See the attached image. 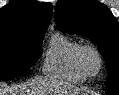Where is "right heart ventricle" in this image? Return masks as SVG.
Returning <instances> with one entry per match:
<instances>
[{
  "label": "right heart ventricle",
  "mask_w": 119,
  "mask_h": 95,
  "mask_svg": "<svg viewBox=\"0 0 119 95\" xmlns=\"http://www.w3.org/2000/svg\"><path fill=\"white\" fill-rule=\"evenodd\" d=\"M81 43L62 33L54 34L45 52L42 71L45 75L71 82H82L87 78L77 63V52Z\"/></svg>",
  "instance_id": "obj_1"
}]
</instances>
